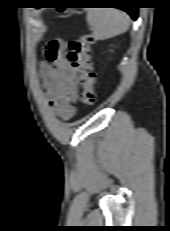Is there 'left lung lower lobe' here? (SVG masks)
I'll list each match as a JSON object with an SVG mask.
<instances>
[{
  "mask_svg": "<svg viewBox=\"0 0 170 231\" xmlns=\"http://www.w3.org/2000/svg\"><path fill=\"white\" fill-rule=\"evenodd\" d=\"M118 5H119V7H118L119 9H122V10L128 12L134 20L137 19L138 7L133 6L132 2L119 3ZM125 5H131V6L125 7Z\"/></svg>",
  "mask_w": 170,
  "mask_h": 231,
  "instance_id": "left-lung-lower-lobe-1",
  "label": "left lung lower lobe"
}]
</instances>
